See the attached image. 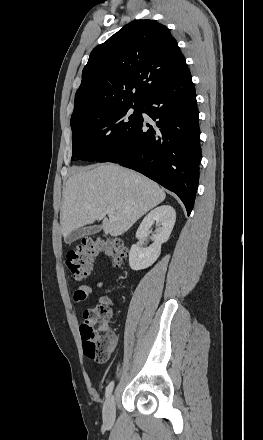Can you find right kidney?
I'll return each mask as SVG.
<instances>
[{"instance_id":"obj_1","label":"right kidney","mask_w":263,"mask_h":440,"mask_svg":"<svg viewBox=\"0 0 263 440\" xmlns=\"http://www.w3.org/2000/svg\"><path fill=\"white\" fill-rule=\"evenodd\" d=\"M175 220L176 212L170 205L159 206L144 217L136 232L137 239L145 238L154 223L159 226V231L153 236L154 242L149 247L143 248L139 244L132 245L129 252V265L132 270L138 271L148 268L158 259L161 245L169 239Z\"/></svg>"}]
</instances>
